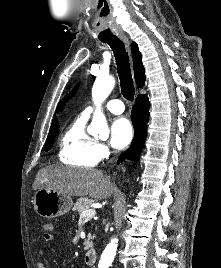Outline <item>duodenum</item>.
I'll return each mask as SVG.
<instances>
[{
  "mask_svg": "<svg viewBox=\"0 0 221 268\" xmlns=\"http://www.w3.org/2000/svg\"><path fill=\"white\" fill-rule=\"evenodd\" d=\"M97 251L95 249H89L85 256V262L87 265H94L97 261Z\"/></svg>",
  "mask_w": 221,
  "mask_h": 268,
  "instance_id": "410a0bca",
  "label": "duodenum"
}]
</instances>
